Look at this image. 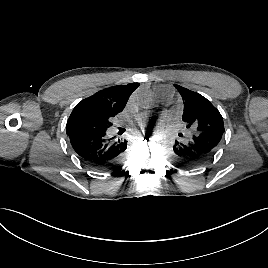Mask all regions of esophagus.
I'll return each instance as SVG.
<instances>
[{
	"instance_id": "obj_1",
	"label": "esophagus",
	"mask_w": 268,
	"mask_h": 268,
	"mask_svg": "<svg viewBox=\"0 0 268 268\" xmlns=\"http://www.w3.org/2000/svg\"><path fill=\"white\" fill-rule=\"evenodd\" d=\"M150 135H151L150 132H148V131H147V132H146V131H143V132H141V133L139 134V137H140V138H144V137H147V138H148V137H150Z\"/></svg>"
}]
</instances>
